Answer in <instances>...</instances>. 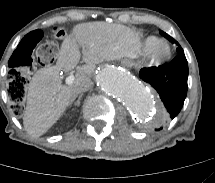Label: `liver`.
I'll list each match as a JSON object with an SVG mask.
<instances>
[{"label":"liver","instance_id":"obj_1","mask_svg":"<svg viewBox=\"0 0 215 183\" xmlns=\"http://www.w3.org/2000/svg\"><path fill=\"white\" fill-rule=\"evenodd\" d=\"M140 45L138 33L121 24L99 21L76 25L72 35L63 40L56 65L37 70L27 87L23 115L27 133L33 137L46 133L76 98V83L91 80L96 64L135 58ZM79 46L86 64L78 69L72 84L62 85L59 72L77 67L81 58Z\"/></svg>","mask_w":215,"mask_h":183}]
</instances>
